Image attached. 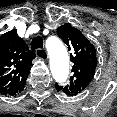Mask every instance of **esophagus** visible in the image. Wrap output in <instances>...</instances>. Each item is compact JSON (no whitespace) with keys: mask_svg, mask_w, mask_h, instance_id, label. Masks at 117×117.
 <instances>
[{"mask_svg":"<svg viewBox=\"0 0 117 117\" xmlns=\"http://www.w3.org/2000/svg\"><path fill=\"white\" fill-rule=\"evenodd\" d=\"M39 50H40V52H39ZM36 55L41 60H47L48 59V53L45 49H38L36 51Z\"/></svg>","mask_w":117,"mask_h":117,"instance_id":"esophagus-1","label":"esophagus"}]
</instances>
